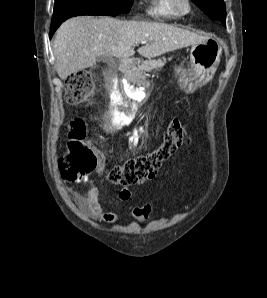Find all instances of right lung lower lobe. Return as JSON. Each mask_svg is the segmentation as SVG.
I'll return each instance as SVG.
<instances>
[{
	"label": "right lung lower lobe",
	"mask_w": 267,
	"mask_h": 298,
	"mask_svg": "<svg viewBox=\"0 0 267 298\" xmlns=\"http://www.w3.org/2000/svg\"><path fill=\"white\" fill-rule=\"evenodd\" d=\"M60 24H61L60 22L51 24L50 36L54 34V32L56 31V29L59 27Z\"/></svg>",
	"instance_id": "obj_1"
}]
</instances>
